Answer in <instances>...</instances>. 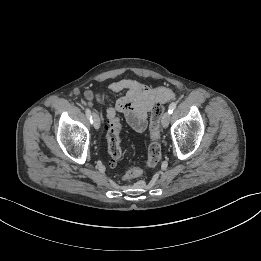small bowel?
Returning <instances> with one entry per match:
<instances>
[{
	"instance_id": "small-bowel-1",
	"label": "small bowel",
	"mask_w": 261,
	"mask_h": 261,
	"mask_svg": "<svg viewBox=\"0 0 261 261\" xmlns=\"http://www.w3.org/2000/svg\"><path fill=\"white\" fill-rule=\"evenodd\" d=\"M108 92L120 93V97L113 106L106 109L107 119L117 117L122 113L127 122L137 132H143L147 127V116L152 106L157 102H168L175 98L174 92L166 87H150L134 79H121L113 81L107 87ZM103 92L86 91L85 102L92 105L93 102L104 103Z\"/></svg>"
}]
</instances>
